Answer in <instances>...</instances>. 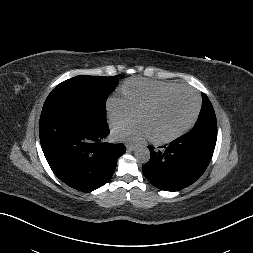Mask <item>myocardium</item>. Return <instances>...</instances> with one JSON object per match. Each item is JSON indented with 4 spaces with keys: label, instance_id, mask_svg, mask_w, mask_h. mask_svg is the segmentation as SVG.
<instances>
[{
    "label": "myocardium",
    "instance_id": "f54148a6",
    "mask_svg": "<svg viewBox=\"0 0 253 253\" xmlns=\"http://www.w3.org/2000/svg\"><path fill=\"white\" fill-rule=\"evenodd\" d=\"M179 91L190 92L195 97V100H196L195 111H194L192 117L190 118V120L183 127H181L179 130H177L173 134L165 136V137H157V138L153 137L152 141L154 143L165 144V143L172 142V141L176 140L177 138H179L180 136H182L184 133H186L194 125V123L196 122V120L199 116L200 109H201V99H200L199 95L197 94V92L195 90H193L192 88H190L188 86L178 85L174 88L165 90V91L157 94L155 97H153L151 100H149L147 103L142 105L137 110V116H138L142 111H145L147 109L154 107L155 105H157L160 101H162L167 96H169L173 93L179 92Z\"/></svg>",
    "mask_w": 253,
    "mask_h": 253
}]
</instances>
